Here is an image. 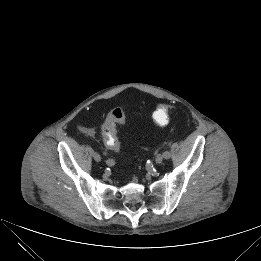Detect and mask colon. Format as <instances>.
Masks as SVG:
<instances>
[{
	"label": "colon",
	"instance_id": "1",
	"mask_svg": "<svg viewBox=\"0 0 261 261\" xmlns=\"http://www.w3.org/2000/svg\"><path fill=\"white\" fill-rule=\"evenodd\" d=\"M170 105L165 103H160L156 106L153 114L152 120L154 124L158 127H165L169 123ZM126 121V116L120 108H115L111 110L101 127V133L104 143L108 148L113 151L120 150V141L117 136L116 126L117 124H124Z\"/></svg>",
	"mask_w": 261,
	"mask_h": 261
}]
</instances>
